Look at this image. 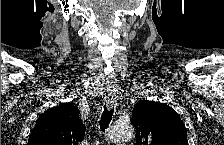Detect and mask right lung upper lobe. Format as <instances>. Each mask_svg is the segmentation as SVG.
Instances as JSON below:
<instances>
[{
  "label": "right lung upper lobe",
  "mask_w": 224,
  "mask_h": 145,
  "mask_svg": "<svg viewBox=\"0 0 224 145\" xmlns=\"http://www.w3.org/2000/svg\"><path fill=\"white\" fill-rule=\"evenodd\" d=\"M76 106L63 103L42 113L28 145H76L84 139L85 126Z\"/></svg>",
  "instance_id": "obj_1"
}]
</instances>
